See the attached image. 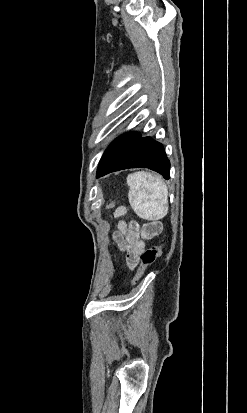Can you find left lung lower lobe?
<instances>
[{
	"label": "left lung lower lobe",
	"mask_w": 247,
	"mask_h": 413,
	"mask_svg": "<svg viewBox=\"0 0 247 413\" xmlns=\"http://www.w3.org/2000/svg\"><path fill=\"white\" fill-rule=\"evenodd\" d=\"M149 168L165 179L170 178V162L162 144L140 133H125L114 140L104 152L97 178L108 173L128 168Z\"/></svg>",
	"instance_id": "0a47b994"
}]
</instances>
